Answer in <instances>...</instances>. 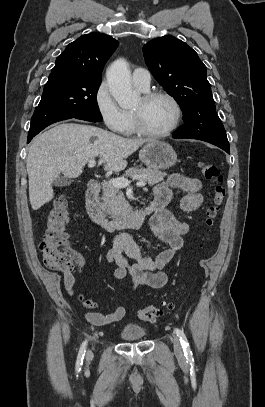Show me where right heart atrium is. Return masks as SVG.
<instances>
[{
	"label": "right heart atrium",
	"mask_w": 265,
	"mask_h": 407,
	"mask_svg": "<svg viewBox=\"0 0 265 407\" xmlns=\"http://www.w3.org/2000/svg\"><path fill=\"white\" fill-rule=\"evenodd\" d=\"M94 102L106 127L111 131L121 132L126 122L125 112L116 103L106 81H102L96 88Z\"/></svg>",
	"instance_id": "right-heart-atrium-1"
}]
</instances>
